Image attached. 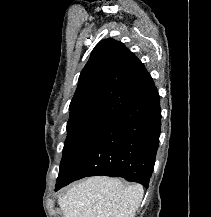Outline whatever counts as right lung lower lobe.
Returning <instances> with one entry per match:
<instances>
[{"instance_id": "1", "label": "right lung lower lobe", "mask_w": 211, "mask_h": 217, "mask_svg": "<svg viewBox=\"0 0 211 217\" xmlns=\"http://www.w3.org/2000/svg\"><path fill=\"white\" fill-rule=\"evenodd\" d=\"M161 132L160 96L154 87L100 133L62 179L56 190L84 177H122L148 188Z\"/></svg>"}]
</instances>
